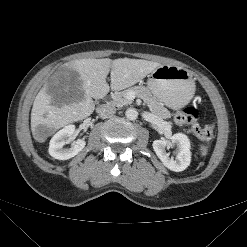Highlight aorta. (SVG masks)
Segmentation results:
<instances>
[{"label":"aorta","mask_w":247,"mask_h":247,"mask_svg":"<svg viewBox=\"0 0 247 247\" xmlns=\"http://www.w3.org/2000/svg\"><path fill=\"white\" fill-rule=\"evenodd\" d=\"M125 116L129 120H136L138 117V112L135 108H128L125 112Z\"/></svg>","instance_id":"aorta-1"}]
</instances>
